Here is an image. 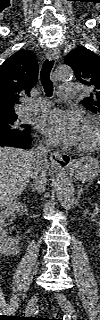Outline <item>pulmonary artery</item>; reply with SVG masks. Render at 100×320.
Returning <instances> with one entry per match:
<instances>
[{"label": "pulmonary artery", "instance_id": "1", "mask_svg": "<svg viewBox=\"0 0 100 320\" xmlns=\"http://www.w3.org/2000/svg\"><path fill=\"white\" fill-rule=\"evenodd\" d=\"M78 92V86L76 84H65L59 87V99L63 101H70L74 98ZM51 103L47 99H37L30 101L25 105V112L29 114L39 113L48 109Z\"/></svg>", "mask_w": 100, "mask_h": 320}]
</instances>
